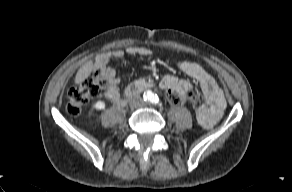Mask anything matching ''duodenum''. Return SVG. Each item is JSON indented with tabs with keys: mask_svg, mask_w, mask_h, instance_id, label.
<instances>
[{
	"mask_svg": "<svg viewBox=\"0 0 292 192\" xmlns=\"http://www.w3.org/2000/svg\"><path fill=\"white\" fill-rule=\"evenodd\" d=\"M150 83H148L145 80H138L135 81L134 83H132L131 85L128 86V88L126 89L125 95H124V102L130 98L133 97L139 93H141L143 90L147 89L148 87H150Z\"/></svg>",
	"mask_w": 292,
	"mask_h": 192,
	"instance_id": "410a0bca",
	"label": "duodenum"
}]
</instances>
